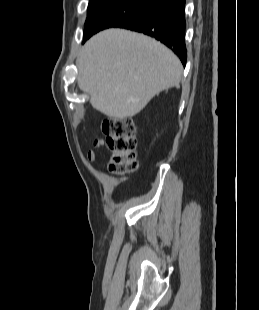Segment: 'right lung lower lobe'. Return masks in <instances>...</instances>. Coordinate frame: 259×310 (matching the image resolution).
I'll list each match as a JSON object with an SVG mask.
<instances>
[{
  "instance_id": "98d812e1",
  "label": "right lung lower lobe",
  "mask_w": 259,
  "mask_h": 310,
  "mask_svg": "<svg viewBox=\"0 0 259 310\" xmlns=\"http://www.w3.org/2000/svg\"><path fill=\"white\" fill-rule=\"evenodd\" d=\"M185 0H158L115 27L144 33L169 47L186 64Z\"/></svg>"
}]
</instances>
